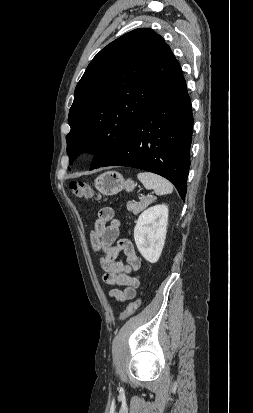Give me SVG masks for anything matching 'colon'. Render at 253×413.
<instances>
[{"mask_svg":"<svg viewBox=\"0 0 253 413\" xmlns=\"http://www.w3.org/2000/svg\"><path fill=\"white\" fill-rule=\"evenodd\" d=\"M69 189L73 195L80 199H101V196L96 191H94V189L90 185L82 181H71L69 183ZM140 305V299H136L131 302L126 310L120 315V320H125L131 317L138 310Z\"/></svg>","mask_w":253,"mask_h":413,"instance_id":"colon-1","label":"colon"}]
</instances>
